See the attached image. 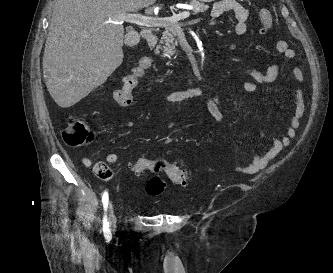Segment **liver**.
<instances>
[{
  "label": "liver",
  "instance_id": "1",
  "mask_svg": "<svg viewBox=\"0 0 333 273\" xmlns=\"http://www.w3.org/2000/svg\"><path fill=\"white\" fill-rule=\"evenodd\" d=\"M156 0H57L43 55L46 87L68 108L102 85L123 62L124 27L115 18Z\"/></svg>",
  "mask_w": 333,
  "mask_h": 273
}]
</instances>
